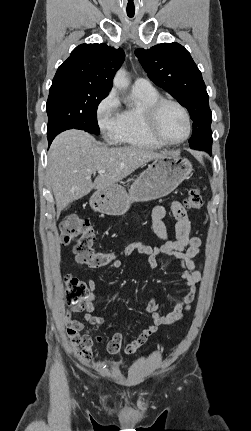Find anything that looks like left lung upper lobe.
I'll return each mask as SVG.
<instances>
[{
  "instance_id": "left-lung-upper-lobe-1",
  "label": "left lung upper lobe",
  "mask_w": 251,
  "mask_h": 431,
  "mask_svg": "<svg viewBox=\"0 0 251 431\" xmlns=\"http://www.w3.org/2000/svg\"><path fill=\"white\" fill-rule=\"evenodd\" d=\"M138 57L148 77L156 85L169 92L189 111L193 131L189 145L192 149L211 153L212 112L202 75L190 53L180 44L162 43L150 49H136Z\"/></svg>"
}]
</instances>
